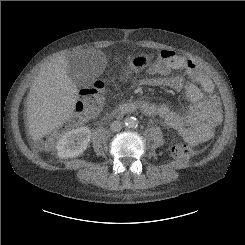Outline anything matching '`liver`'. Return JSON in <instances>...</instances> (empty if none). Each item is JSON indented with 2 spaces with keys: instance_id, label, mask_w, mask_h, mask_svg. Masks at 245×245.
<instances>
[{
  "instance_id": "liver-1",
  "label": "liver",
  "mask_w": 245,
  "mask_h": 245,
  "mask_svg": "<svg viewBox=\"0 0 245 245\" xmlns=\"http://www.w3.org/2000/svg\"><path fill=\"white\" fill-rule=\"evenodd\" d=\"M77 94L67 56L56 57L34 79L28 94L27 121L31 138L39 140L67 122L73 115Z\"/></svg>"
}]
</instances>
